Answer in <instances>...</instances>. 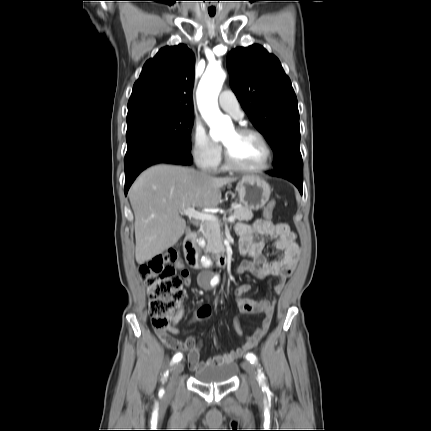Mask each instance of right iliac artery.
I'll use <instances>...</instances> for the list:
<instances>
[{
    "mask_svg": "<svg viewBox=\"0 0 431 431\" xmlns=\"http://www.w3.org/2000/svg\"><path fill=\"white\" fill-rule=\"evenodd\" d=\"M182 359V354L181 353H177L174 355L173 359H172V363L178 362Z\"/></svg>",
    "mask_w": 431,
    "mask_h": 431,
    "instance_id": "right-iliac-artery-1",
    "label": "right iliac artery"
}]
</instances>
